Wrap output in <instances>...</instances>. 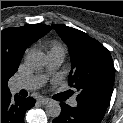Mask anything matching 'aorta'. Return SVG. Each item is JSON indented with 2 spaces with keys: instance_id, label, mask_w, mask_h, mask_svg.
Wrapping results in <instances>:
<instances>
[{
  "instance_id": "obj_1",
  "label": "aorta",
  "mask_w": 123,
  "mask_h": 123,
  "mask_svg": "<svg viewBox=\"0 0 123 123\" xmlns=\"http://www.w3.org/2000/svg\"><path fill=\"white\" fill-rule=\"evenodd\" d=\"M47 61L45 53L40 50H31L25 57L26 64L33 69H41ZM61 113V107L58 102H50L46 106V114L51 118H57Z\"/></svg>"
}]
</instances>
